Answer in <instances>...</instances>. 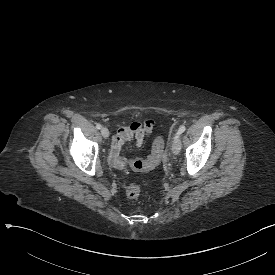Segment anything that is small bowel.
I'll use <instances>...</instances> for the list:
<instances>
[{
	"label": "small bowel",
	"mask_w": 275,
	"mask_h": 275,
	"mask_svg": "<svg viewBox=\"0 0 275 275\" xmlns=\"http://www.w3.org/2000/svg\"><path fill=\"white\" fill-rule=\"evenodd\" d=\"M158 123L156 120L149 118L145 123H135L131 128L124 131L119 130L115 134V138L112 141L109 162L115 168H122L126 165L127 161L120 155L121 145L125 140H129L132 137L136 138V145L139 146L143 141H147L150 136V132L156 129Z\"/></svg>",
	"instance_id": "small-bowel-1"
}]
</instances>
